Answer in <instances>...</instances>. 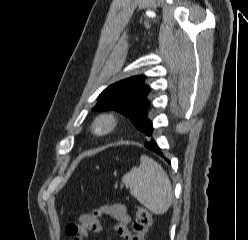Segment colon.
Listing matches in <instances>:
<instances>
[{
    "mask_svg": "<svg viewBox=\"0 0 248 240\" xmlns=\"http://www.w3.org/2000/svg\"><path fill=\"white\" fill-rule=\"evenodd\" d=\"M151 224L152 217L150 212L144 207H137L135 221L133 223L132 240H145Z\"/></svg>",
    "mask_w": 248,
    "mask_h": 240,
    "instance_id": "5ec220e1",
    "label": "colon"
}]
</instances>
